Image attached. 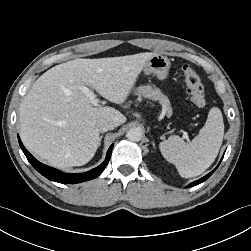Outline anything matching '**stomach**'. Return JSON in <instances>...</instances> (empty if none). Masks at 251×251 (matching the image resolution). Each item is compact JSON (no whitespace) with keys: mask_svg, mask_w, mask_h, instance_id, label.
Returning a JSON list of instances; mask_svg holds the SVG:
<instances>
[{"mask_svg":"<svg viewBox=\"0 0 251 251\" xmlns=\"http://www.w3.org/2000/svg\"><path fill=\"white\" fill-rule=\"evenodd\" d=\"M170 67L171 63L167 57L156 54L147 61L143 71L146 75L154 73L158 79L164 80L168 77Z\"/></svg>","mask_w":251,"mask_h":251,"instance_id":"0dacf381","label":"stomach"}]
</instances>
